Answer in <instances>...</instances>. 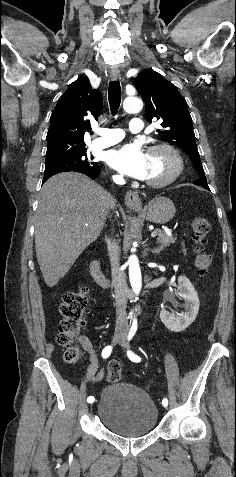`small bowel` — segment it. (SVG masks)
<instances>
[{
    "label": "small bowel",
    "mask_w": 236,
    "mask_h": 477,
    "mask_svg": "<svg viewBox=\"0 0 236 477\" xmlns=\"http://www.w3.org/2000/svg\"><path fill=\"white\" fill-rule=\"evenodd\" d=\"M81 343L84 350L88 353L90 360V364L87 369V378L92 382L103 379L105 371L100 370L98 367V357L93 345L87 338H82Z\"/></svg>",
    "instance_id": "c3829d8e"
}]
</instances>
